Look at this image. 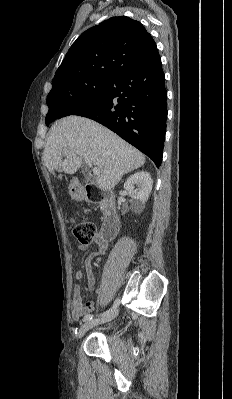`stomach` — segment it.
<instances>
[{"label":"stomach","mask_w":232,"mask_h":399,"mask_svg":"<svg viewBox=\"0 0 232 399\" xmlns=\"http://www.w3.org/2000/svg\"><path fill=\"white\" fill-rule=\"evenodd\" d=\"M78 194H79L78 190H75V196H73L75 200H80V198H77ZM79 196H81V194H79Z\"/></svg>","instance_id":"0dacf381"}]
</instances>
